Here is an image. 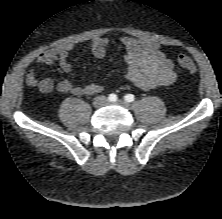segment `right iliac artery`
I'll use <instances>...</instances> for the list:
<instances>
[{
    "label": "right iliac artery",
    "mask_w": 222,
    "mask_h": 219,
    "mask_svg": "<svg viewBox=\"0 0 222 219\" xmlns=\"http://www.w3.org/2000/svg\"><path fill=\"white\" fill-rule=\"evenodd\" d=\"M108 99H109L110 101L114 102V101L117 100V95H115V94H110L109 97H108Z\"/></svg>",
    "instance_id": "right-iliac-artery-1"
}]
</instances>
